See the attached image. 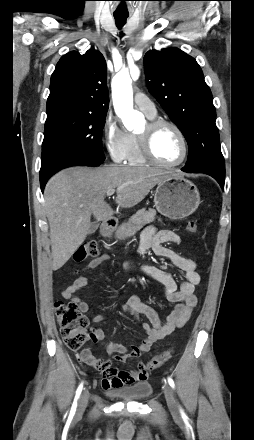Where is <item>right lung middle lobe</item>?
Wrapping results in <instances>:
<instances>
[{"mask_svg": "<svg viewBox=\"0 0 254 440\" xmlns=\"http://www.w3.org/2000/svg\"><path fill=\"white\" fill-rule=\"evenodd\" d=\"M106 113L59 107L47 111L40 179L75 165L97 166L104 160L102 129Z\"/></svg>", "mask_w": 254, "mask_h": 440, "instance_id": "1", "label": "right lung middle lobe"}]
</instances>
